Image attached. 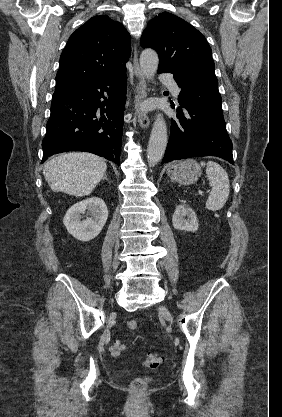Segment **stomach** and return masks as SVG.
<instances>
[{
	"instance_id": "obj_1",
	"label": "stomach",
	"mask_w": 282,
	"mask_h": 417,
	"mask_svg": "<svg viewBox=\"0 0 282 417\" xmlns=\"http://www.w3.org/2000/svg\"><path fill=\"white\" fill-rule=\"evenodd\" d=\"M167 174L173 180L180 182V184H193L201 174V166L193 158L179 160V162H172L168 166Z\"/></svg>"
}]
</instances>
